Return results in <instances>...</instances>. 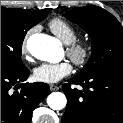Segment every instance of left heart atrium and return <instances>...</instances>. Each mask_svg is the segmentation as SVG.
Wrapping results in <instances>:
<instances>
[{
    "instance_id": "1",
    "label": "left heart atrium",
    "mask_w": 123,
    "mask_h": 123,
    "mask_svg": "<svg viewBox=\"0 0 123 123\" xmlns=\"http://www.w3.org/2000/svg\"><path fill=\"white\" fill-rule=\"evenodd\" d=\"M72 72V65L68 61L60 63H43L33 72L34 79L42 83H56Z\"/></svg>"
}]
</instances>
